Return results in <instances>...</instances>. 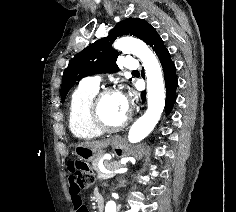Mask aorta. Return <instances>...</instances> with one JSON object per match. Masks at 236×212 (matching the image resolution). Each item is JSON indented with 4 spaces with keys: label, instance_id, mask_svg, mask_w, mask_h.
Here are the masks:
<instances>
[{
    "label": "aorta",
    "instance_id": "obj_1",
    "mask_svg": "<svg viewBox=\"0 0 236 212\" xmlns=\"http://www.w3.org/2000/svg\"><path fill=\"white\" fill-rule=\"evenodd\" d=\"M114 46L124 53H132L137 56L145 69L148 107L146 112L131 126L128 133L129 141L136 143L154 129L163 112L165 88L162 70L156 56L143 41L132 37H122L115 42ZM105 212H117V204L114 200L106 203Z\"/></svg>",
    "mask_w": 236,
    "mask_h": 212
}]
</instances>
